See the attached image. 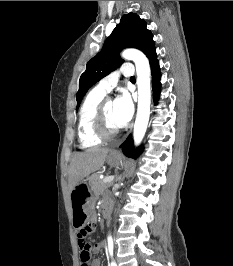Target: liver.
<instances>
[{"label": "liver", "mask_w": 233, "mask_h": 266, "mask_svg": "<svg viewBox=\"0 0 233 266\" xmlns=\"http://www.w3.org/2000/svg\"><path fill=\"white\" fill-rule=\"evenodd\" d=\"M107 148H91L84 152L74 153L68 172L69 191L74 188L89 174L99 170L109 153Z\"/></svg>", "instance_id": "obj_1"}]
</instances>
